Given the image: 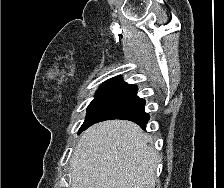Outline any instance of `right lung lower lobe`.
Returning a JSON list of instances; mask_svg holds the SVG:
<instances>
[{
  "instance_id": "1",
  "label": "right lung lower lobe",
  "mask_w": 224,
  "mask_h": 188,
  "mask_svg": "<svg viewBox=\"0 0 224 188\" xmlns=\"http://www.w3.org/2000/svg\"><path fill=\"white\" fill-rule=\"evenodd\" d=\"M136 92L135 85H127L93 116L87 128L104 120L125 119L134 121L145 129L150 116L144 111L145 101Z\"/></svg>"
}]
</instances>
